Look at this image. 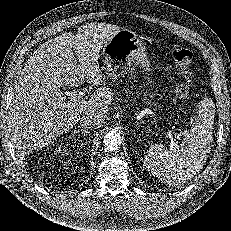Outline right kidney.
<instances>
[{
	"label": "right kidney",
	"mask_w": 231,
	"mask_h": 231,
	"mask_svg": "<svg viewBox=\"0 0 231 231\" xmlns=\"http://www.w3.org/2000/svg\"><path fill=\"white\" fill-rule=\"evenodd\" d=\"M67 147H68V144H66V145H60V146L58 147L57 151H58L59 153H62L63 155H68L70 149H68Z\"/></svg>",
	"instance_id": "obj_1"
}]
</instances>
